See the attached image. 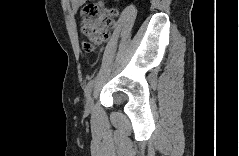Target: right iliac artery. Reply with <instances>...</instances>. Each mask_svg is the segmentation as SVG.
<instances>
[{
  "label": "right iliac artery",
  "instance_id": "right-iliac-artery-1",
  "mask_svg": "<svg viewBox=\"0 0 239 156\" xmlns=\"http://www.w3.org/2000/svg\"><path fill=\"white\" fill-rule=\"evenodd\" d=\"M93 83L94 81L91 80L88 82L87 86H86V89H85V96L88 97L92 91V87H93Z\"/></svg>",
  "mask_w": 239,
  "mask_h": 156
}]
</instances>
